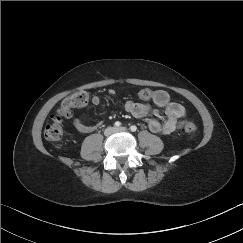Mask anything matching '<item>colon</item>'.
Wrapping results in <instances>:
<instances>
[{"mask_svg":"<svg viewBox=\"0 0 243 243\" xmlns=\"http://www.w3.org/2000/svg\"><path fill=\"white\" fill-rule=\"evenodd\" d=\"M145 96H149V93H144ZM90 94L87 90L81 89L63 99L58 110L51 116L50 121L44 128V136L47 140L52 142H58L63 137V125L62 118L70 117L73 109L82 107L89 102ZM184 131L190 136H195L197 132V126L193 122H188L184 126Z\"/></svg>","mask_w":243,"mask_h":243,"instance_id":"colon-1","label":"colon"}]
</instances>
